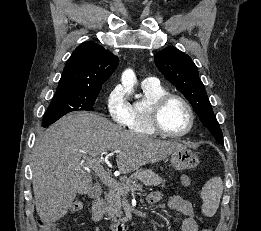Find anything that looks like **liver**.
Here are the masks:
<instances>
[{
	"label": "liver",
	"mask_w": 261,
	"mask_h": 231,
	"mask_svg": "<svg viewBox=\"0 0 261 231\" xmlns=\"http://www.w3.org/2000/svg\"><path fill=\"white\" fill-rule=\"evenodd\" d=\"M183 147L177 141L124 130L98 114L65 115L36 140L31 163L36 211L43 222H56L77 194L93 191L92 176L85 167L88 159L102 152L117 151L118 170L130 173Z\"/></svg>",
	"instance_id": "6515ba94"
}]
</instances>
